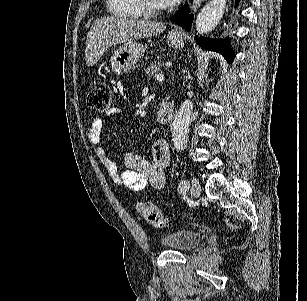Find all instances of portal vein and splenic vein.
Here are the masks:
<instances>
[{"instance_id":"portal-vein-and-splenic-vein-1","label":"portal vein and splenic vein","mask_w":307,"mask_h":301,"mask_svg":"<svg viewBox=\"0 0 307 301\" xmlns=\"http://www.w3.org/2000/svg\"><path fill=\"white\" fill-rule=\"evenodd\" d=\"M156 78L157 80H164L165 76L164 74H157Z\"/></svg>"}]
</instances>
